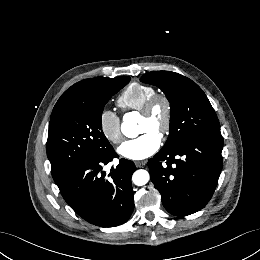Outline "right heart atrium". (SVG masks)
Returning <instances> with one entry per match:
<instances>
[{"instance_id": "d8ad5b80", "label": "right heart atrium", "mask_w": 260, "mask_h": 260, "mask_svg": "<svg viewBox=\"0 0 260 260\" xmlns=\"http://www.w3.org/2000/svg\"><path fill=\"white\" fill-rule=\"evenodd\" d=\"M98 123L102 135L109 142L119 144L122 141L121 119L112 109L108 107L101 109Z\"/></svg>"}]
</instances>
